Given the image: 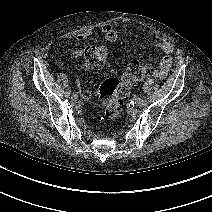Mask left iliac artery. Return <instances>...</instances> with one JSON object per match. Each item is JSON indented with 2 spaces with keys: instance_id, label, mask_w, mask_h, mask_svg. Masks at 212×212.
<instances>
[{
  "instance_id": "obj_1",
  "label": "left iliac artery",
  "mask_w": 212,
  "mask_h": 212,
  "mask_svg": "<svg viewBox=\"0 0 212 212\" xmlns=\"http://www.w3.org/2000/svg\"><path fill=\"white\" fill-rule=\"evenodd\" d=\"M147 105H148L147 100H146L145 98H142V99H141V106H142V107H145V106H147Z\"/></svg>"
}]
</instances>
